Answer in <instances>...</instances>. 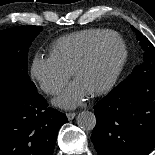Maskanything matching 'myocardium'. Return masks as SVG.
Wrapping results in <instances>:
<instances>
[{"label": "myocardium", "instance_id": "myocardium-1", "mask_svg": "<svg viewBox=\"0 0 155 155\" xmlns=\"http://www.w3.org/2000/svg\"><path fill=\"white\" fill-rule=\"evenodd\" d=\"M113 41H119L122 44L123 47V56L119 62V65L116 69V71L114 72L113 76L111 77V79L102 87H100L99 89L91 92L90 94L92 96H99L102 94H105L107 92H109L114 85L117 83V81L119 80L125 66L126 63L128 61V57H129V49H128V45L126 43V41L117 33H114L111 36H108L104 39H102L101 41H99L94 47L93 49L78 63V65L75 67L74 71H73V78L75 80H77L78 76L80 75V73L85 70L99 55V53L101 52V50L110 42Z\"/></svg>", "mask_w": 155, "mask_h": 155}]
</instances>
